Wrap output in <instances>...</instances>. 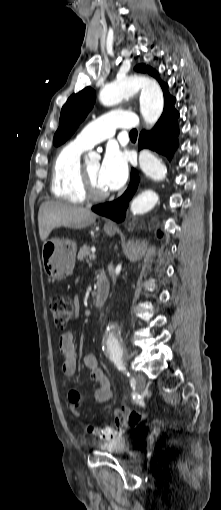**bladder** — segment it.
Returning <instances> with one entry per match:
<instances>
[{"label": "bladder", "instance_id": "bladder-1", "mask_svg": "<svg viewBox=\"0 0 221 510\" xmlns=\"http://www.w3.org/2000/svg\"><path fill=\"white\" fill-rule=\"evenodd\" d=\"M135 443L129 436H122L113 440L102 442L98 445L99 449L113 455H125L129 453Z\"/></svg>", "mask_w": 221, "mask_h": 510}]
</instances>
